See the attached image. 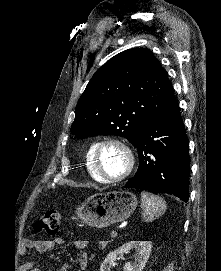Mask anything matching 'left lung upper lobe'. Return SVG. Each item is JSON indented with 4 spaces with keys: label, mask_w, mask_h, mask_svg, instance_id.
<instances>
[{
    "label": "left lung upper lobe",
    "mask_w": 221,
    "mask_h": 271,
    "mask_svg": "<svg viewBox=\"0 0 221 271\" xmlns=\"http://www.w3.org/2000/svg\"><path fill=\"white\" fill-rule=\"evenodd\" d=\"M167 72L149 49L123 51L90 79L75 110L71 133L78 139L117 135L134 144L151 119L174 102Z\"/></svg>",
    "instance_id": "5c2ea615"
}]
</instances>
